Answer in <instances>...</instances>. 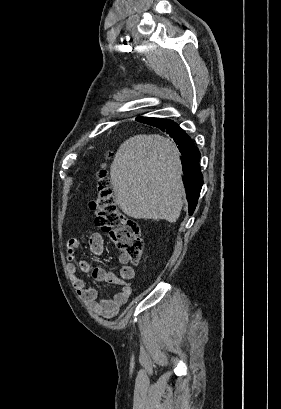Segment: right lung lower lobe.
<instances>
[{
  "label": "right lung lower lobe",
  "instance_id": "1",
  "mask_svg": "<svg viewBox=\"0 0 281 409\" xmlns=\"http://www.w3.org/2000/svg\"><path fill=\"white\" fill-rule=\"evenodd\" d=\"M149 119L151 118H137L143 123ZM162 131H166L174 139L183 156L181 162L186 182V196L189 204V215H192L203 185V176L199 167L200 152L191 138L176 123L167 126Z\"/></svg>",
  "mask_w": 281,
  "mask_h": 409
}]
</instances>
